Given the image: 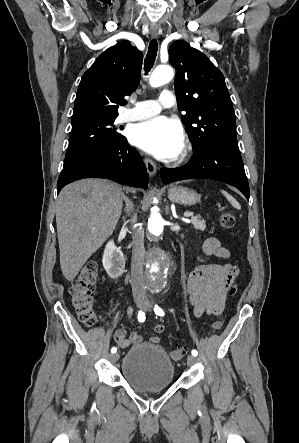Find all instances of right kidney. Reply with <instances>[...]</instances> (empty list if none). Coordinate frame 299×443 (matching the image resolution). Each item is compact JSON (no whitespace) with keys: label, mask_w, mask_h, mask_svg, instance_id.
<instances>
[{"label":"right kidney","mask_w":299,"mask_h":443,"mask_svg":"<svg viewBox=\"0 0 299 443\" xmlns=\"http://www.w3.org/2000/svg\"><path fill=\"white\" fill-rule=\"evenodd\" d=\"M102 263L108 276L112 279L118 278L124 272L125 259L123 253L115 246L113 240L109 241L105 247Z\"/></svg>","instance_id":"obj_1"}]
</instances>
